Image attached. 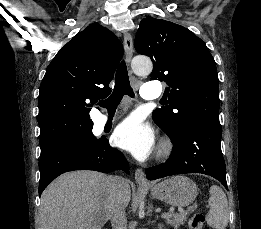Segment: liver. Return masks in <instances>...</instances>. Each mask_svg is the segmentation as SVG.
<instances>
[{
    "instance_id": "1",
    "label": "liver",
    "mask_w": 261,
    "mask_h": 229,
    "mask_svg": "<svg viewBox=\"0 0 261 229\" xmlns=\"http://www.w3.org/2000/svg\"><path fill=\"white\" fill-rule=\"evenodd\" d=\"M108 179L97 171L60 175L41 195L40 229H102L112 211ZM130 199V187L126 183L120 205L126 209Z\"/></svg>"
}]
</instances>
